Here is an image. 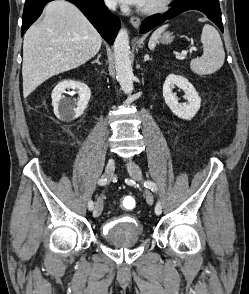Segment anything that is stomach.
<instances>
[{
	"mask_svg": "<svg viewBox=\"0 0 249 294\" xmlns=\"http://www.w3.org/2000/svg\"><path fill=\"white\" fill-rule=\"evenodd\" d=\"M160 41L164 44L171 43L173 40V36L170 32H165L164 34L159 36Z\"/></svg>",
	"mask_w": 249,
	"mask_h": 294,
	"instance_id": "1",
	"label": "stomach"
}]
</instances>
